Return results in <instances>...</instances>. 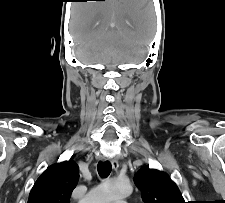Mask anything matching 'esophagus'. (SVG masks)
Segmentation results:
<instances>
[{
  "mask_svg": "<svg viewBox=\"0 0 225 203\" xmlns=\"http://www.w3.org/2000/svg\"><path fill=\"white\" fill-rule=\"evenodd\" d=\"M102 160H105V159H102ZM110 162H111V164H112V168H113L114 170H116V169L118 168V166H119L117 159L112 158V159H110Z\"/></svg>",
  "mask_w": 225,
  "mask_h": 203,
  "instance_id": "obj_1",
  "label": "esophagus"
}]
</instances>
